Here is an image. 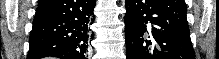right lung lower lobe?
Instances as JSON below:
<instances>
[{
  "label": "right lung lower lobe",
  "mask_w": 219,
  "mask_h": 59,
  "mask_svg": "<svg viewBox=\"0 0 219 59\" xmlns=\"http://www.w3.org/2000/svg\"><path fill=\"white\" fill-rule=\"evenodd\" d=\"M96 0H40L27 59H86Z\"/></svg>",
  "instance_id": "98d812e1"
}]
</instances>
